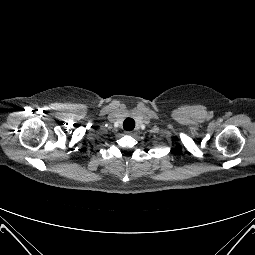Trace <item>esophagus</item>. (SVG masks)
I'll list each match as a JSON object with an SVG mask.
<instances>
[{"instance_id":"obj_1","label":"esophagus","mask_w":255,"mask_h":255,"mask_svg":"<svg viewBox=\"0 0 255 255\" xmlns=\"http://www.w3.org/2000/svg\"><path fill=\"white\" fill-rule=\"evenodd\" d=\"M136 132L134 130H131V131H126V134L128 135H134Z\"/></svg>"}]
</instances>
